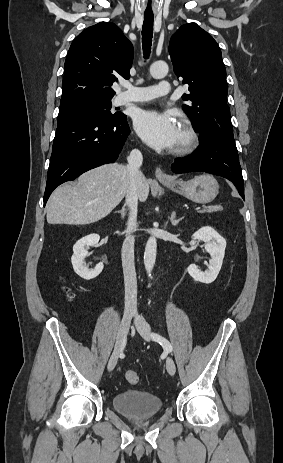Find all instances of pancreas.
Listing matches in <instances>:
<instances>
[{
    "mask_svg": "<svg viewBox=\"0 0 283 463\" xmlns=\"http://www.w3.org/2000/svg\"><path fill=\"white\" fill-rule=\"evenodd\" d=\"M219 210H222V207L215 205V206L204 207V209L201 210L200 212L201 213H205V212L211 213V212H215V211H219Z\"/></svg>",
    "mask_w": 283,
    "mask_h": 463,
    "instance_id": "cf45deb5",
    "label": "pancreas"
}]
</instances>
